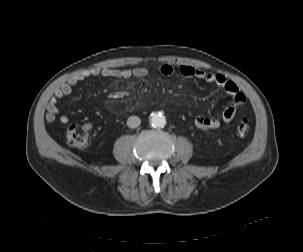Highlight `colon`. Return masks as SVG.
Masks as SVG:
<instances>
[{"label":"colon","instance_id":"colon-1","mask_svg":"<svg viewBox=\"0 0 303 252\" xmlns=\"http://www.w3.org/2000/svg\"><path fill=\"white\" fill-rule=\"evenodd\" d=\"M250 130V125L246 121H241L237 124L235 132L238 136L246 135ZM90 135L89 125H73L67 131L68 142L77 147H84L87 145Z\"/></svg>","mask_w":303,"mask_h":252}]
</instances>
